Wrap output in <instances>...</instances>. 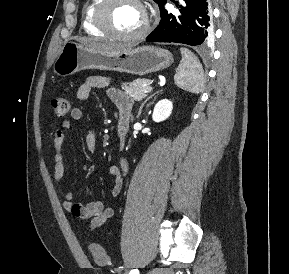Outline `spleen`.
I'll list each match as a JSON object with an SVG mask.
<instances>
[{"label": "spleen", "mask_w": 289, "mask_h": 274, "mask_svg": "<svg viewBox=\"0 0 289 274\" xmlns=\"http://www.w3.org/2000/svg\"><path fill=\"white\" fill-rule=\"evenodd\" d=\"M182 59L174 76L175 84L191 93H199L204 87V73L198 58L188 49L181 48Z\"/></svg>", "instance_id": "1"}]
</instances>
